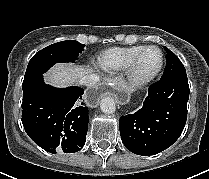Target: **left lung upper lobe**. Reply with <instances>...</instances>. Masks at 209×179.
<instances>
[{
    "label": "left lung upper lobe",
    "instance_id": "5c2ea615",
    "mask_svg": "<svg viewBox=\"0 0 209 179\" xmlns=\"http://www.w3.org/2000/svg\"><path fill=\"white\" fill-rule=\"evenodd\" d=\"M166 61V68L161 79H167L179 74H186V70L181 61L174 53L169 50L167 51Z\"/></svg>",
    "mask_w": 209,
    "mask_h": 179
}]
</instances>
